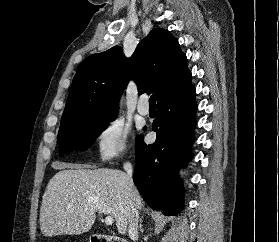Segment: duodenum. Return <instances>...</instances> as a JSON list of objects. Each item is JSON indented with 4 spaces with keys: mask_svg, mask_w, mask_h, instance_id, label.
<instances>
[{
    "mask_svg": "<svg viewBox=\"0 0 279 242\" xmlns=\"http://www.w3.org/2000/svg\"><path fill=\"white\" fill-rule=\"evenodd\" d=\"M92 242H125V241L118 237L97 234L92 236Z\"/></svg>",
    "mask_w": 279,
    "mask_h": 242,
    "instance_id": "duodenum-1",
    "label": "duodenum"
}]
</instances>
